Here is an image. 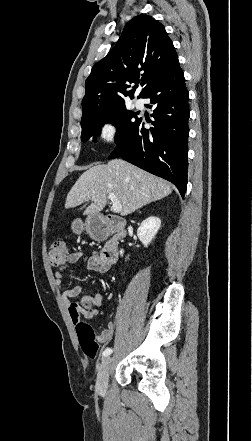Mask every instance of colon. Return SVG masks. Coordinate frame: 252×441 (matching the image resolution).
Segmentation results:
<instances>
[{
	"instance_id": "colon-1",
	"label": "colon",
	"mask_w": 252,
	"mask_h": 441,
	"mask_svg": "<svg viewBox=\"0 0 252 441\" xmlns=\"http://www.w3.org/2000/svg\"><path fill=\"white\" fill-rule=\"evenodd\" d=\"M68 255L66 243L63 240L54 241L49 248V259L52 266L60 265ZM80 346L89 358L97 357L99 343L95 338L94 330L88 323L79 321L76 324Z\"/></svg>"
}]
</instances>
